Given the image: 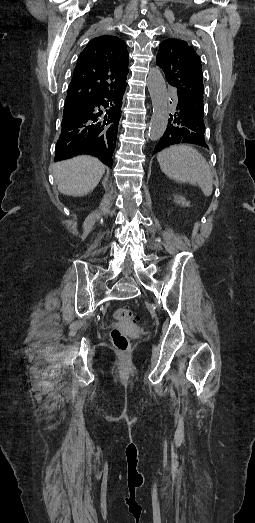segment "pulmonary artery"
<instances>
[{"label": "pulmonary artery", "instance_id": "1", "mask_svg": "<svg viewBox=\"0 0 255 523\" xmlns=\"http://www.w3.org/2000/svg\"><path fill=\"white\" fill-rule=\"evenodd\" d=\"M171 88H174V85H171ZM170 100L175 101L178 98L177 93H175V90H172V93L169 95ZM173 105H176V102H173Z\"/></svg>", "mask_w": 255, "mask_h": 523}]
</instances>
